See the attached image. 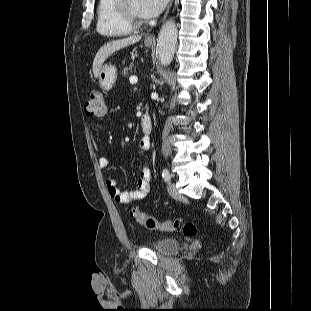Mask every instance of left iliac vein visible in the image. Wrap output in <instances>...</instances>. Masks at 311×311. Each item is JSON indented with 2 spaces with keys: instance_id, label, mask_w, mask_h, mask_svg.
Instances as JSON below:
<instances>
[{
  "instance_id": "4c4485c4",
  "label": "left iliac vein",
  "mask_w": 311,
  "mask_h": 311,
  "mask_svg": "<svg viewBox=\"0 0 311 311\" xmlns=\"http://www.w3.org/2000/svg\"><path fill=\"white\" fill-rule=\"evenodd\" d=\"M168 192L173 198H180L181 194L179 193L178 189L176 188L175 184L170 183L168 185Z\"/></svg>"
}]
</instances>
